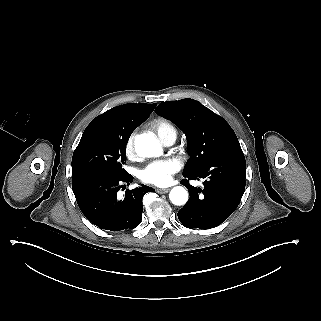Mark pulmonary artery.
<instances>
[{
    "label": "pulmonary artery",
    "instance_id": "1",
    "mask_svg": "<svg viewBox=\"0 0 321 321\" xmlns=\"http://www.w3.org/2000/svg\"><path fill=\"white\" fill-rule=\"evenodd\" d=\"M176 137H177V136H176L175 134H170V135L166 136V137L162 140V142L164 143V145L170 146V145H172V144L175 142Z\"/></svg>",
    "mask_w": 321,
    "mask_h": 321
}]
</instances>
